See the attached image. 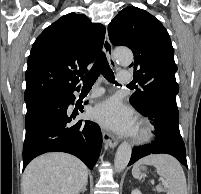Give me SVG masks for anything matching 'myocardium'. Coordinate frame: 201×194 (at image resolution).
I'll list each match as a JSON object with an SVG mask.
<instances>
[{
    "mask_svg": "<svg viewBox=\"0 0 201 194\" xmlns=\"http://www.w3.org/2000/svg\"><path fill=\"white\" fill-rule=\"evenodd\" d=\"M152 129L148 123L142 121L137 127V131L134 136V141L138 144L147 143L152 139Z\"/></svg>",
    "mask_w": 201,
    "mask_h": 194,
    "instance_id": "1",
    "label": "myocardium"
}]
</instances>
